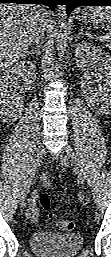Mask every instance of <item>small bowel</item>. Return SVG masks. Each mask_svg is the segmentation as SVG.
Here are the masks:
<instances>
[{"label":"small bowel","instance_id":"obj_1","mask_svg":"<svg viewBox=\"0 0 111 257\" xmlns=\"http://www.w3.org/2000/svg\"><path fill=\"white\" fill-rule=\"evenodd\" d=\"M41 180L43 182V184L46 187H50L51 183H50V179H49V174L47 172H45L42 177ZM27 217L31 220V221H36L38 219V211L36 210V208L34 206H29L27 211H26Z\"/></svg>","mask_w":111,"mask_h":257}]
</instances>
